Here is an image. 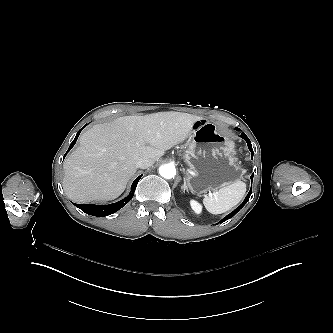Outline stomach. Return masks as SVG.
Masks as SVG:
<instances>
[{
  "label": "stomach",
  "instance_id": "0dacf381",
  "mask_svg": "<svg viewBox=\"0 0 333 333\" xmlns=\"http://www.w3.org/2000/svg\"><path fill=\"white\" fill-rule=\"evenodd\" d=\"M198 123L181 154L187 166L186 184L194 195L216 192L240 180L246 173L236 157L234 142L204 119Z\"/></svg>",
  "mask_w": 333,
  "mask_h": 333
}]
</instances>
